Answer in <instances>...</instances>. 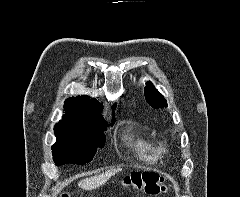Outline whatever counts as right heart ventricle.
Returning a JSON list of instances; mask_svg holds the SVG:
<instances>
[{
  "mask_svg": "<svg viewBox=\"0 0 240 197\" xmlns=\"http://www.w3.org/2000/svg\"><path fill=\"white\" fill-rule=\"evenodd\" d=\"M126 142L137 158L143 162L149 164L157 162L159 156L154 142L149 137H146L137 131L134 126H131L128 129Z\"/></svg>",
  "mask_w": 240,
  "mask_h": 197,
  "instance_id": "e07e8e85",
  "label": "right heart ventricle"
}]
</instances>
